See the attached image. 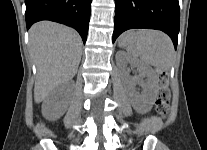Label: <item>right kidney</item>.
Returning <instances> with one entry per match:
<instances>
[{"label":"right kidney","instance_id":"ca27d5eb","mask_svg":"<svg viewBox=\"0 0 207 150\" xmlns=\"http://www.w3.org/2000/svg\"><path fill=\"white\" fill-rule=\"evenodd\" d=\"M65 91V87H57L45 98L42 104V115L46 119L56 120L65 113L68 102L63 99L57 103L58 98L63 97Z\"/></svg>","mask_w":207,"mask_h":150}]
</instances>
